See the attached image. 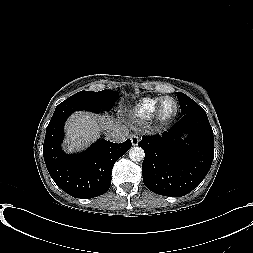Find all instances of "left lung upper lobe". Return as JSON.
<instances>
[{
  "instance_id": "5c2ea615",
  "label": "left lung upper lobe",
  "mask_w": 253,
  "mask_h": 253,
  "mask_svg": "<svg viewBox=\"0 0 253 253\" xmlns=\"http://www.w3.org/2000/svg\"><path fill=\"white\" fill-rule=\"evenodd\" d=\"M182 114L197 113L204 111L194 100L181 92H177Z\"/></svg>"
}]
</instances>
